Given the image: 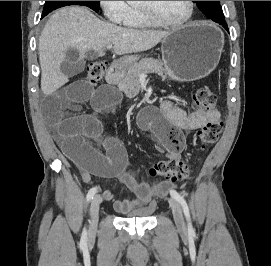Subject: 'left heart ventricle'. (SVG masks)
Masks as SVG:
<instances>
[{
  "label": "left heart ventricle",
  "mask_w": 271,
  "mask_h": 266,
  "mask_svg": "<svg viewBox=\"0 0 271 266\" xmlns=\"http://www.w3.org/2000/svg\"><path fill=\"white\" fill-rule=\"evenodd\" d=\"M141 6L150 7L160 18L170 22L183 20L189 11L187 1H141Z\"/></svg>",
  "instance_id": "left-heart-ventricle-1"
}]
</instances>
